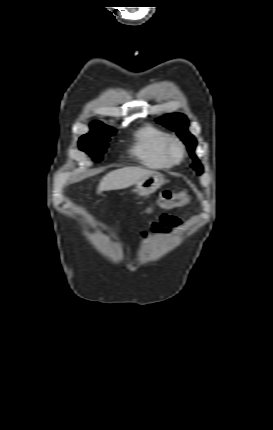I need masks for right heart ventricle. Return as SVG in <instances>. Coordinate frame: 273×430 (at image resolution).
<instances>
[{
  "instance_id": "1",
  "label": "right heart ventricle",
  "mask_w": 273,
  "mask_h": 430,
  "mask_svg": "<svg viewBox=\"0 0 273 430\" xmlns=\"http://www.w3.org/2000/svg\"><path fill=\"white\" fill-rule=\"evenodd\" d=\"M172 136L165 131L146 125L135 133L132 153L140 162L152 169H168L173 164L165 155V145Z\"/></svg>"
}]
</instances>
